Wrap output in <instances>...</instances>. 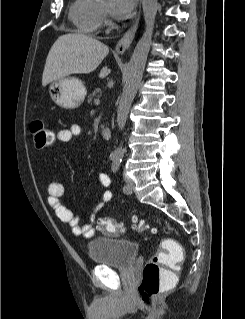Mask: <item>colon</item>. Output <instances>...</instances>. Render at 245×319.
I'll use <instances>...</instances> for the list:
<instances>
[{"label": "colon", "mask_w": 245, "mask_h": 319, "mask_svg": "<svg viewBox=\"0 0 245 319\" xmlns=\"http://www.w3.org/2000/svg\"><path fill=\"white\" fill-rule=\"evenodd\" d=\"M30 132L35 146L44 148L51 146L54 141L53 133L40 119H35L30 124ZM136 228L142 232L155 233V229L133 217ZM97 228L107 235H122L125 232L123 225L110 217H101L97 221ZM184 259V250L181 245L172 239H164L160 250L147 262L143 269V279L138 286L140 299L151 304L154 299L172 282L168 271L174 267L175 262Z\"/></svg>", "instance_id": "1"}]
</instances>
